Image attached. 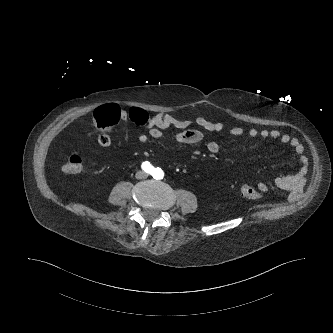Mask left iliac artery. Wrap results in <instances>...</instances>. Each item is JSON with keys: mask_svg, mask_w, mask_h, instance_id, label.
Wrapping results in <instances>:
<instances>
[{"mask_svg": "<svg viewBox=\"0 0 333 333\" xmlns=\"http://www.w3.org/2000/svg\"><path fill=\"white\" fill-rule=\"evenodd\" d=\"M154 175L158 178L162 177L163 171L161 170V168H156L155 171H154Z\"/></svg>", "mask_w": 333, "mask_h": 333, "instance_id": "left-iliac-artery-1", "label": "left iliac artery"}]
</instances>
